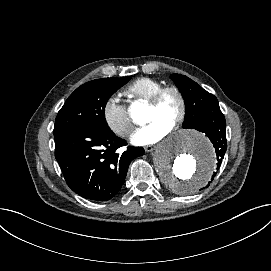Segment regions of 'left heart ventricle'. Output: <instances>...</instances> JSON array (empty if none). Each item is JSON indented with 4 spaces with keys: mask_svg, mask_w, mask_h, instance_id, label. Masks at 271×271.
<instances>
[{
    "mask_svg": "<svg viewBox=\"0 0 271 271\" xmlns=\"http://www.w3.org/2000/svg\"><path fill=\"white\" fill-rule=\"evenodd\" d=\"M181 102L178 95L174 92L168 93L164 99L160 109H154L148 106L146 123L158 121L164 125L172 127L175 118L180 114Z\"/></svg>",
    "mask_w": 271,
    "mask_h": 271,
    "instance_id": "left-heart-ventricle-1",
    "label": "left heart ventricle"
}]
</instances>
